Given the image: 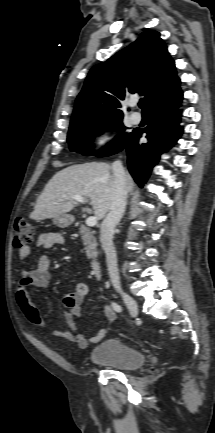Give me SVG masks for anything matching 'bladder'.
<instances>
[{
	"label": "bladder",
	"mask_w": 215,
	"mask_h": 433,
	"mask_svg": "<svg viewBox=\"0 0 215 433\" xmlns=\"http://www.w3.org/2000/svg\"><path fill=\"white\" fill-rule=\"evenodd\" d=\"M91 363L105 364L118 370L130 371L144 365L145 357L138 349L119 339H106L89 353Z\"/></svg>",
	"instance_id": "31cf9c89"
}]
</instances>
